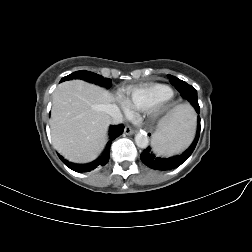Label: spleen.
Wrapping results in <instances>:
<instances>
[{
  "instance_id": "1",
  "label": "spleen",
  "mask_w": 252,
  "mask_h": 252,
  "mask_svg": "<svg viewBox=\"0 0 252 252\" xmlns=\"http://www.w3.org/2000/svg\"><path fill=\"white\" fill-rule=\"evenodd\" d=\"M195 132V115L187 105L177 106L165 118L152 139L157 155L170 156L181 152L191 143Z\"/></svg>"
}]
</instances>
